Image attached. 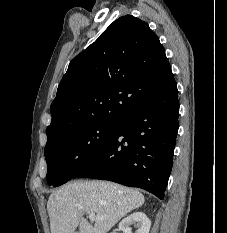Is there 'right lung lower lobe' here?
I'll list each match as a JSON object with an SVG mask.
<instances>
[{
	"label": "right lung lower lobe",
	"mask_w": 227,
	"mask_h": 233,
	"mask_svg": "<svg viewBox=\"0 0 227 233\" xmlns=\"http://www.w3.org/2000/svg\"><path fill=\"white\" fill-rule=\"evenodd\" d=\"M176 82L124 115L114 135L73 178L142 188L164 198L178 132Z\"/></svg>",
	"instance_id": "98d812e1"
}]
</instances>
